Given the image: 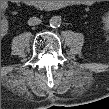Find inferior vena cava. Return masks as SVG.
Returning a JSON list of instances; mask_svg holds the SVG:
<instances>
[{"label":"inferior vena cava","instance_id":"1","mask_svg":"<svg viewBox=\"0 0 109 109\" xmlns=\"http://www.w3.org/2000/svg\"><path fill=\"white\" fill-rule=\"evenodd\" d=\"M40 23H41V20L38 17H31L28 20V25L30 26L38 25Z\"/></svg>","mask_w":109,"mask_h":109}]
</instances>
